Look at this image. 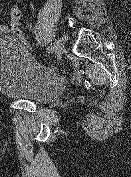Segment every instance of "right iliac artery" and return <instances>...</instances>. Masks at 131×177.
<instances>
[{"mask_svg":"<svg viewBox=\"0 0 131 177\" xmlns=\"http://www.w3.org/2000/svg\"><path fill=\"white\" fill-rule=\"evenodd\" d=\"M28 27H29V25H28ZM30 28H31V26H30ZM53 50H54V47H53V46H48L47 49H46V51H47L48 53H52Z\"/></svg>","mask_w":131,"mask_h":177,"instance_id":"right-iliac-artery-1","label":"right iliac artery"}]
</instances>
